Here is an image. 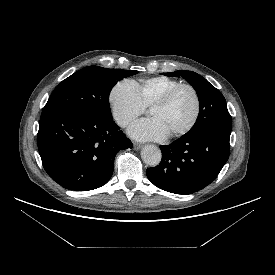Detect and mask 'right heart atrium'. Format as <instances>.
<instances>
[{
    "label": "right heart atrium",
    "instance_id": "d8ad5b80",
    "mask_svg": "<svg viewBox=\"0 0 275 275\" xmlns=\"http://www.w3.org/2000/svg\"><path fill=\"white\" fill-rule=\"evenodd\" d=\"M108 99L114 120L123 128L129 126L145 111L136 84L129 79L118 81L110 90Z\"/></svg>",
    "mask_w": 275,
    "mask_h": 275
}]
</instances>
